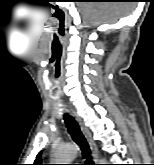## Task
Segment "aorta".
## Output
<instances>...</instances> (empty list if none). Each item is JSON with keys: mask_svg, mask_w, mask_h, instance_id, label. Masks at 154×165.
<instances>
[{"mask_svg": "<svg viewBox=\"0 0 154 165\" xmlns=\"http://www.w3.org/2000/svg\"><path fill=\"white\" fill-rule=\"evenodd\" d=\"M77 151L78 148L72 144L57 148L54 155V164H70L76 157Z\"/></svg>", "mask_w": 154, "mask_h": 165, "instance_id": "1", "label": "aorta"}]
</instances>
